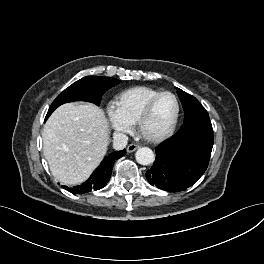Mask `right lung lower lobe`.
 Here are the masks:
<instances>
[{"mask_svg":"<svg viewBox=\"0 0 264 264\" xmlns=\"http://www.w3.org/2000/svg\"><path fill=\"white\" fill-rule=\"evenodd\" d=\"M125 154H126V150L113 152L109 154L103 159L101 164L92 173L90 178L82 185H78L74 187L62 186V188L75 194H84L105 187L110 179L115 160L121 158Z\"/></svg>","mask_w":264,"mask_h":264,"instance_id":"98d812e1","label":"right lung lower lobe"}]
</instances>
